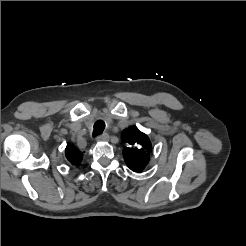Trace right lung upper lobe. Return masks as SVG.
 Listing matches in <instances>:
<instances>
[{
  "mask_svg": "<svg viewBox=\"0 0 246 246\" xmlns=\"http://www.w3.org/2000/svg\"><path fill=\"white\" fill-rule=\"evenodd\" d=\"M65 154L68 161L73 165H79L83 158V153L72 145H67Z\"/></svg>",
  "mask_w": 246,
  "mask_h": 246,
  "instance_id": "obj_1",
  "label": "right lung upper lobe"
}]
</instances>
